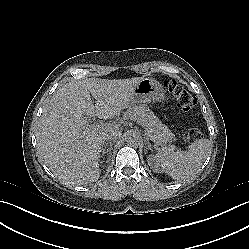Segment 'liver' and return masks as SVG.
I'll return each instance as SVG.
<instances>
[{
    "instance_id": "liver-1",
    "label": "liver",
    "mask_w": 249,
    "mask_h": 249,
    "mask_svg": "<svg viewBox=\"0 0 249 249\" xmlns=\"http://www.w3.org/2000/svg\"><path fill=\"white\" fill-rule=\"evenodd\" d=\"M138 81L99 79L74 81L60 89L39 120L37 148L44 163L69 172L85 183L99 178L105 133L120 132V123L89 125L92 117L111 119L129 103ZM91 96L96 99L95 104Z\"/></svg>"
}]
</instances>
